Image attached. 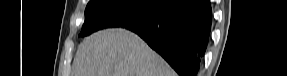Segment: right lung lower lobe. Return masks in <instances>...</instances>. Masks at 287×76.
Here are the masks:
<instances>
[{"mask_svg":"<svg viewBox=\"0 0 287 76\" xmlns=\"http://www.w3.org/2000/svg\"><path fill=\"white\" fill-rule=\"evenodd\" d=\"M211 18L210 0H166L149 20L127 29L145 40L180 76H196Z\"/></svg>","mask_w":287,"mask_h":76,"instance_id":"right-lung-lower-lobe-1","label":"right lung lower lobe"}]
</instances>
